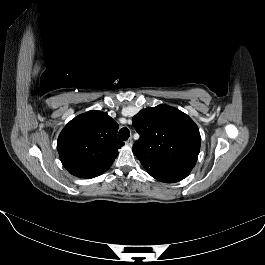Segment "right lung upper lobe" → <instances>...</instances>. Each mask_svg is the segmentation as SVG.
Instances as JSON below:
<instances>
[{
	"mask_svg": "<svg viewBox=\"0 0 265 265\" xmlns=\"http://www.w3.org/2000/svg\"><path fill=\"white\" fill-rule=\"evenodd\" d=\"M118 128L107 112L91 110L72 119L57 141L64 167L80 178H93L104 173L124 145L117 139Z\"/></svg>",
	"mask_w": 265,
	"mask_h": 265,
	"instance_id": "obj_1",
	"label": "right lung upper lobe"
}]
</instances>
